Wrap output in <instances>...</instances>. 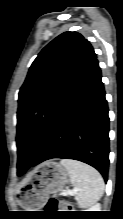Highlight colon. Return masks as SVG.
I'll list each match as a JSON object with an SVG mask.
<instances>
[{"label": "colon", "mask_w": 123, "mask_h": 219, "mask_svg": "<svg viewBox=\"0 0 123 219\" xmlns=\"http://www.w3.org/2000/svg\"><path fill=\"white\" fill-rule=\"evenodd\" d=\"M47 207L50 210H60L65 212L72 210V205L70 203L65 201H60L54 197L49 199Z\"/></svg>", "instance_id": "colon-1"}]
</instances>
